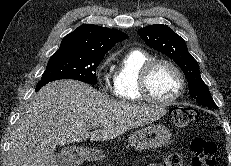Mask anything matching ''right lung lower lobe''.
Listing matches in <instances>:
<instances>
[{
    "mask_svg": "<svg viewBox=\"0 0 231 166\" xmlns=\"http://www.w3.org/2000/svg\"><path fill=\"white\" fill-rule=\"evenodd\" d=\"M47 83H48L47 81H39L38 84L36 85L35 90L38 91L41 87H43Z\"/></svg>",
    "mask_w": 231,
    "mask_h": 166,
    "instance_id": "right-lung-lower-lobe-1",
    "label": "right lung lower lobe"
}]
</instances>
